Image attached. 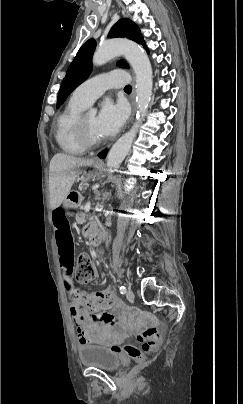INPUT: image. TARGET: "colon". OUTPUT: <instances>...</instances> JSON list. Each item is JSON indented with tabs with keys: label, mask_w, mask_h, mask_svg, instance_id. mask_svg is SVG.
<instances>
[{
	"label": "colon",
	"mask_w": 243,
	"mask_h": 404,
	"mask_svg": "<svg viewBox=\"0 0 243 404\" xmlns=\"http://www.w3.org/2000/svg\"><path fill=\"white\" fill-rule=\"evenodd\" d=\"M96 276V270L91 258L86 254H81L77 259L76 279L81 283L91 282ZM74 300L85 307L91 313H117L134 314L132 309H123L117 305L113 293L109 290L95 293H78L73 296ZM141 347L127 346V353L133 358H139L142 353L150 352L160 345L161 334L156 326L145 328L137 336Z\"/></svg>",
	"instance_id": "1"
}]
</instances>
